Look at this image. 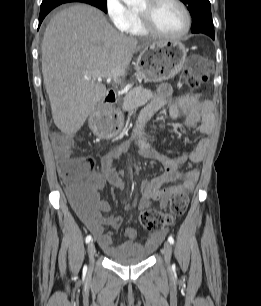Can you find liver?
<instances>
[{
	"label": "liver",
	"mask_w": 261,
	"mask_h": 306,
	"mask_svg": "<svg viewBox=\"0 0 261 306\" xmlns=\"http://www.w3.org/2000/svg\"><path fill=\"white\" fill-rule=\"evenodd\" d=\"M152 44L117 32L99 9L77 4L57 13L42 42V74L55 125L74 135L106 95L95 72L125 71Z\"/></svg>",
	"instance_id": "1"
}]
</instances>
